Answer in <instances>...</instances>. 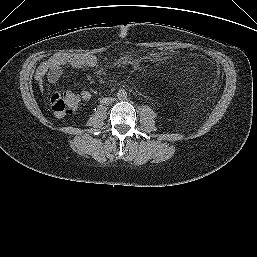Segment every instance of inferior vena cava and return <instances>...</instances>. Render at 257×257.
<instances>
[{
    "label": "inferior vena cava",
    "mask_w": 257,
    "mask_h": 257,
    "mask_svg": "<svg viewBox=\"0 0 257 257\" xmlns=\"http://www.w3.org/2000/svg\"><path fill=\"white\" fill-rule=\"evenodd\" d=\"M114 101V98H103L102 102L105 104H110Z\"/></svg>",
    "instance_id": "1"
}]
</instances>
